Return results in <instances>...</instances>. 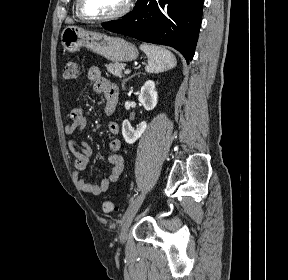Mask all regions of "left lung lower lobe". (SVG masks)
Instances as JSON below:
<instances>
[{"label":"left lung lower lobe","mask_w":288,"mask_h":280,"mask_svg":"<svg viewBox=\"0 0 288 280\" xmlns=\"http://www.w3.org/2000/svg\"><path fill=\"white\" fill-rule=\"evenodd\" d=\"M204 0H138L125 18L102 24L112 32L178 50L189 63L194 56Z\"/></svg>","instance_id":"0a47b994"}]
</instances>
